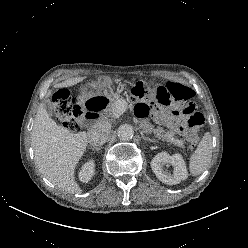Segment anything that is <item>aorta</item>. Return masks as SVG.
<instances>
[{
  "label": "aorta",
  "mask_w": 248,
  "mask_h": 248,
  "mask_svg": "<svg viewBox=\"0 0 248 248\" xmlns=\"http://www.w3.org/2000/svg\"><path fill=\"white\" fill-rule=\"evenodd\" d=\"M117 135L122 141H129L133 138L134 129L129 124H122L119 126L117 130Z\"/></svg>",
  "instance_id": "aorta-1"
}]
</instances>
